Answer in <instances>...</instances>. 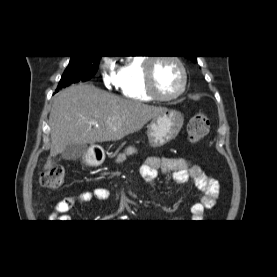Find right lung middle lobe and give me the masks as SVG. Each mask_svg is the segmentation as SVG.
<instances>
[{"mask_svg":"<svg viewBox=\"0 0 277 277\" xmlns=\"http://www.w3.org/2000/svg\"><path fill=\"white\" fill-rule=\"evenodd\" d=\"M100 58L101 56H71L70 63L61 77L57 90L75 82L89 80L97 72Z\"/></svg>","mask_w":277,"mask_h":277,"instance_id":"obj_1","label":"right lung middle lobe"}]
</instances>
